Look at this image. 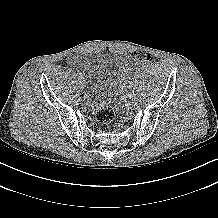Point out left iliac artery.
<instances>
[{
	"label": "left iliac artery",
	"instance_id": "left-iliac-artery-1",
	"mask_svg": "<svg viewBox=\"0 0 218 218\" xmlns=\"http://www.w3.org/2000/svg\"><path fill=\"white\" fill-rule=\"evenodd\" d=\"M133 90H131V92H128V97H133Z\"/></svg>",
	"mask_w": 218,
	"mask_h": 218
}]
</instances>
